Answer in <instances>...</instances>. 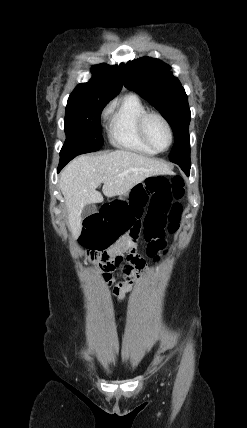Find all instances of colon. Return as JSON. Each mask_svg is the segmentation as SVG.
I'll return each mask as SVG.
<instances>
[{
    "label": "colon",
    "instance_id": "obj_1",
    "mask_svg": "<svg viewBox=\"0 0 247 428\" xmlns=\"http://www.w3.org/2000/svg\"><path fill=\"white\" fill-rule=\"evenodd\" d=\"M184 196V181L175 176L171 180L163 177L150 178L137 186L130 199L119 195L111 204H101V212H88L84 219V234H78V243H86L87 251H99V268L106 282L111 273L121 265L122 259L111 256L110 247L122 239L123 232L137 243L143 236L148 242L147 254L158 260V252L164 248L165 228L174 232L180 221L182 207L179 200ZM94 256V252H91ZM128 260L140 267L145 261L136 249H132ZM146 303L144 300L141 302Z\"/></svg>",
    "mask_w": 247,
    "mask_h": 428
}]
</instances>
